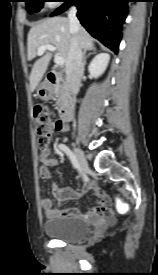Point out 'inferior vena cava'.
Masks as SVG:
<instances>
[{
  "label": "inferior vena cava",
  "instance_id": "obj_1",
  "mask_svg": "<svg viewBox=\"0 0 158 275\" xmlns=\"http://www.w3.org/2000/svg\"><path fill=\"white\" fill-rule=\"evenodd\" d=\"M77 9L72 6L68 12L70 28L78 31L80 28L79 20L76 16ZM84 73L83 53L79 46L77 36L71 37L68 57L66 62L67 86L73 95H77L80 87V80Z\"/></svg>",
  "mask_w": 158,
  "mask_h": 275
}]
</instances>
